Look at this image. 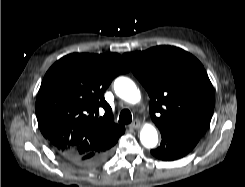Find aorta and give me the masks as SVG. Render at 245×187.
Instances as JSON below:
<instances>
[{"mask_svg":"<svg viewBox=\"0 0 245 187\" xmlns=\"http://www.w3.org/2000/svg\"><path fill=\"white\" fill-rule=\"evenodd\" d=\"M114 90L117 96L131 104L140 101V91L136 84L127 77H119L114 82ZM140 140L144 147L154 148L158 143V133L151 124L143 126L140 132Z\"/></svg>","mask_w":245,"mask_h":187,"instance_id":"1","label":"aorta"}]
</instances>
